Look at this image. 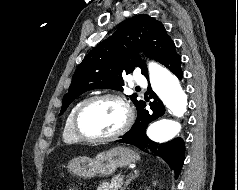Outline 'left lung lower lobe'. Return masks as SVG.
<instances>
[{"instance_id": "1", "label": "left lung lower lobe", "mask_w": 238, "mask_h": 190, "mask_svg": "<svg viewBox=\"0 0 238 190\" xmlns=\"http://www.w3.org/2000/svg\"><path fill=\"white\" fill-rule=\"evenodd\" d=\"M180 80L183 72L181 70V57L174 51L167 59L162 62ZM151 91V90H150ZM154 101L150 102L151 111L145 109L146 103L142 101L137 108V119L132 128L118 140L120 143L131 144L139 149L158 155L163 158L175 171L176 177L179 175L184 161V142L182 138H175L166 143H157L150 140L146 135L148 124L165 113V107L155 93L151 91Z\"/></svg>"}]
</instances>
